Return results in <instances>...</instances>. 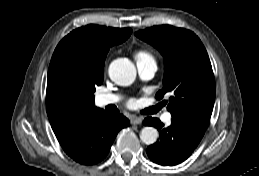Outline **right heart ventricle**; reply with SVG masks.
I'll return each mask as SVG.
<instances>
[{
  "mask_svg": "<svg viewBox=\"0 0 259 176\" xmlns=\"http://www.w3.org/2000/svg\"><path fill=\"white\" fill-rule=\"evenodd\" d=\"M135 58L137 62L147 61V60H154L152 55L146 50H138L135 53Z\"/></svg>",
  "mask_w": 259,
  "mask_h": 176,
  "instance_id": "1",
  "label": "right heart ventricle"
}]
</instances>
